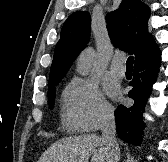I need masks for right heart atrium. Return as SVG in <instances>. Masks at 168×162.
Listing matches in <instances>:
<instances>
[{"instance_id": "right-heart-atrium-1", "label": "right heart atrium", "mask_w": 168, "mask_h": 162, "mask_svg": "<svg viewBox=\"0 0 168 162\" xmlns=\"http://www.w3.org/2000/svg\"><path fill=\"white\" fill-rule=\"evenodd\" d=\"M114 117L113 107L101 94L96 82L72 79L64 97L63 121L69 128L91 132L108 124Z\"/></svg>"}]
</instances>
